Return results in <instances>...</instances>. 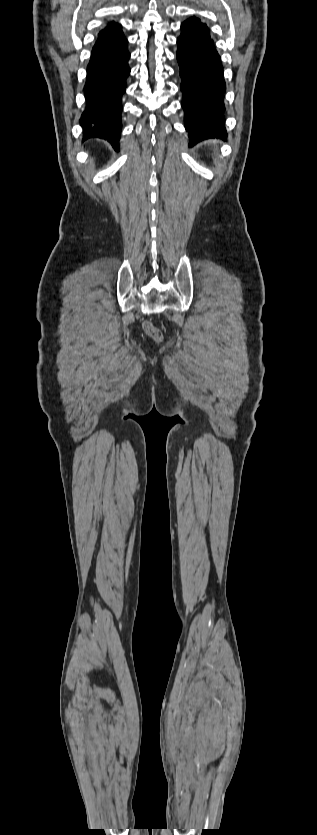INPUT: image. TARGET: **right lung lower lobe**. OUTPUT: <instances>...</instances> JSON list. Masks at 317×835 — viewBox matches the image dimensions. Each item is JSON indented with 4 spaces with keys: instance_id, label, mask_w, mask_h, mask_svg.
<instances>
[{
    "instance_id": "obj_1",
    "label": "right lung lower lobe",
    "mask_w": 317,
    "mask_h": 835,
    "mask_svg": "<svg viewBox=\"0 0 317 835\" xmlns=\"http://www.w3.org/2000/svg\"><path fill=\"white\" fill-rule=\"evenodd\" d=\"M127 43L124 36L112 40L99 33L87 66L86 109L80 119L83 140L102 138L116 150L122 125V95L130 74Z\"/></svg>"
}]
</instances>
